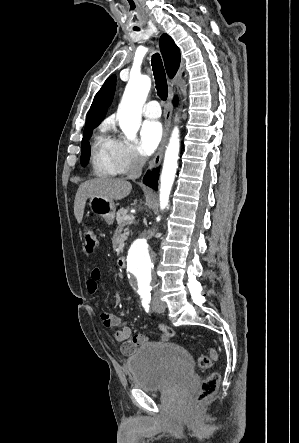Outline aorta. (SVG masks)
Masks as SVG:
<instances>
[{"mask_svg":"<svg viewBox=\"0 0 299 443\" xmlns=\"http://www.w3.org/2000/svg\"><path fill=\"white\" fill-rule=\"evenodd\" d=\"M150 87L151 80L148 76H138L130 77L125 88L117 117L122 132L129 140L135 139L139 130L142 106L146 101ZM179 149V130L175 128L165 152L160 177V208L162 210L169 202V195L178 168ZM152 232L153 229H146L142 236L134 241L127 259L128 271L136 278L137 293L142 299L150 297L154 265L146 239Z\"/></svg>","mask_w":299,"mask_h":443,"instance_id":"aorta-1","label":"aorta"}]
</instances>
